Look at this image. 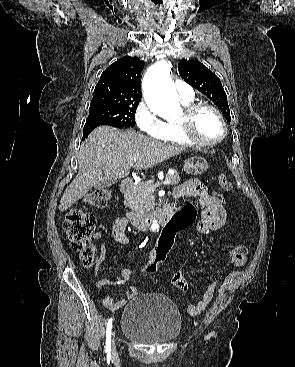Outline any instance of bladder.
Here are the masks:
<instances>
[{"label":"bladder","mask_w":295,"mask_h":367,"mask_svg":"<svg viewBox=\"0 0 295 367\" xmlns=\"http://www.w3.org/2000/svg\"><path fill=\"white\" fill-rule=\"evenodd\" d=\"M182 319L177 306L161 294L146 293L134 297L121 317L123 335L145 344L165 343L181 331Z\"/></svg>","instance_id":"obj_1"}]
</instances>
